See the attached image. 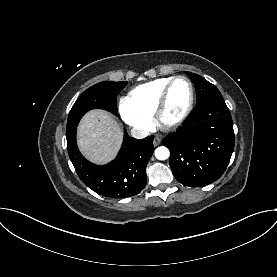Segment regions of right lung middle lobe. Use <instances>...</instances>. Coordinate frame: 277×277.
<instances>
[{"label": "right lung middle lobe", "mask_w": 277, "mask_h": 277, "mask_svg": "<svg viewBox=\"0 0 277 277\" xmlns=\"http://www.w3.org/2000/svg\"><path fill=\"white\" fill-rule=\"evenodd\" d=\"M123 82H100L85 90L70 110L66 134L76 129L82 116L91 109H104L117 114V95L126 86Z\"/></svg>", "instance_id": "dd1d6c3e"}]
</instances>
